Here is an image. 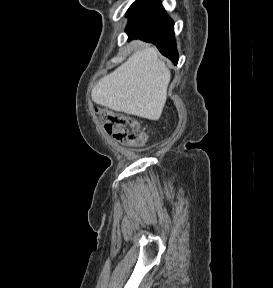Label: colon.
<instances>
[{"instance_id":"colon-1","label":"colon","mask_w":273,"mask_h":288,"mask_svg":"<svg viewBox=\"0 0 273 288\" xmlns=\"http://www.w3.org/2000/svg\"><path fill=\"white\" fill-rule=\"evenodd\" d=\"M96 113L105 130L117 143L142 146L146 142V134L135 118L105 108L97 109Z\"/></svg>"}]
</instances>
